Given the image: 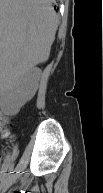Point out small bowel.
Wrapping results in <instances>:
<instances>
[{
    "label": "small bowel",
    "mask_w": 103,
    "mask_h": 193,
    "mask_svg": "<svg viewBox=\"0 0 103 193\" xmlns=\"http://www.w3.org/2000/svg\"><path fill=\"white\" fill-rule=\"evenodd\" d=\"M7 119L5 117L2 118V125H6L7 124ZM12 136L11 132H9V136L8 138H10ZM5 171V167L2 168Z\"/></svg>",
    "instance_id": "1"
}]
</instances>
